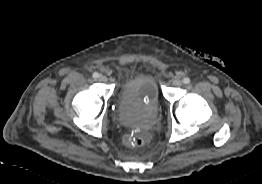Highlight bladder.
<instances>
[{"label":"bladder","instance_id":"31cf9c89","mask_svg":"<svg viewBox=\"0 0 262 184\" xmlns=\"http://www.w3.org/2000/svg\"><path fill=\"white\" fill-rule=\"evenodd\" d=\"M161 97L160 86L157 79L148 72H136L126 77L121 84L119 91V115L125 123L134 125L139 119L130 111L126 105L136 98L147 99L148 102L158 107Z\"/></svg>","mask_w":262,"mask_h":184}]
</instances>
